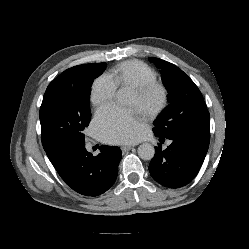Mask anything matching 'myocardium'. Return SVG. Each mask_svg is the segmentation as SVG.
<instances>
[{"label": "myocardium", "instance_id": "obj_1", "mask_svg": "<svg viewBox=\"0 0 249 249\" xmlns=\"http://www.w3.org/2000/svg\"><path fill=\"white\" fill-rule=\"evenodd\" d=\"M153 89H157L160 92V101L158 105L149 111L145 117L147 119H153L160 115L168 105L169 91L166 85L160 81H148L144 82L136 87L132 88V92L135 93L139 98L144 97L148 92Z\"/></svg>", "mask_w": 249, "mask_h": 249}]
</instances>
